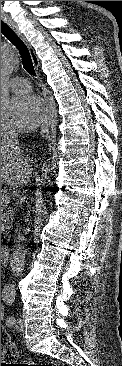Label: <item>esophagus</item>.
<instances>
[{
	"instance_id": "34e87169",
	"label": "esophagus",
	"mask_w": 122,
	"mask_h": 366,
	"mask_svg": "<svg viewBox=\"0 0 122 366\" xmlns=\"http://www.w3.org/2000/svg\"><path fill=\"white\" fill-rule=\"evenodd\" d=\"M1 20H3L6 24H8L10 26V28L16 33V35L28 46L34 67L38 71L39 59H38L34 49L27 43L25 37L21 34V32L16 27L15 23L10 18L5 16L4 14H1ZM42 90H43V97L45 100V117H44V121L42 123L41 130H42V134L45 135V134L49 133V128H50L52 120H53V107L51 105V102H50V99L48 96L47 88L43 83H42Z\"/></svg>"
}]
</instances>
